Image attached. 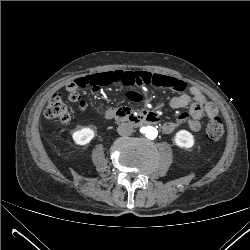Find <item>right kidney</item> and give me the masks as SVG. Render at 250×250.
Masks as SVG:
<instances>
[{
	"label": "right kidney",
	"instance_id": "obj_1",
	"mask_svg": "<svg viewBox=\"0 0 250 250\" xmlns=\"http://www.w3.org/2000/svg\"><path fill=\"white\" fill-rule=\"evenodd\" d=\"M94 137V131L90 128H82L72 133L74 142L78 145H85Z\"/></svg>",
	"mask_w": 250,
	"mask_h": 250
}]
</instances>
